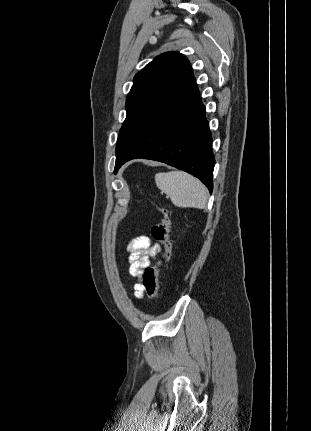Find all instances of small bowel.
Masks as SVG:
<instances>
[{
	"label": "small bowel",
	"mask_w": 311,
	"mask_h": 431,
	"mask_svg": "<svg viewBox=\"0 0 311 431\" xmlns=\"http://www.w3.org/2000/svg\"><path fill=\"white\" fill-rule=\"evenodd\" d=\"M160 251L158 244H152L148 236H139L132 240L127 246L129 254V273L136 278H140L144 269L150 265L151 260ZM134 294L137 298H142L144 288L141 283L134 286Z\"/></svg>",
	"instance_id": "c3829d8e"
}]
</instances>
